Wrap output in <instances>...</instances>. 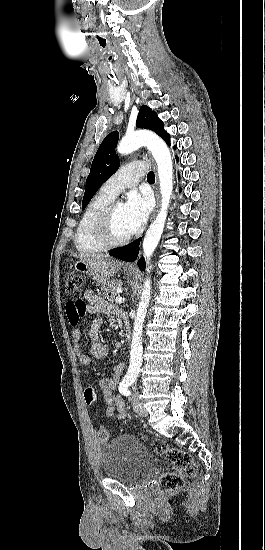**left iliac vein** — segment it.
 <instances>
[{
  "label": "left iliac vein",
  "instance_id": "obj_1",
  "mask_svg": "<svg viewBox=\"0 0 265 550\" xmlns=\"http://www.w3.org/2000/svg\"><path fill=\"white\" fill-rule=\"evenodd\" d=\"M132 406L134 411L139 416H142V417L147 416V410L144 408L139 395L134 394L132 396Z\"/></svg>",
  "mask_w": 265,
  "mask_h": 550
}]
</instances>
